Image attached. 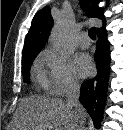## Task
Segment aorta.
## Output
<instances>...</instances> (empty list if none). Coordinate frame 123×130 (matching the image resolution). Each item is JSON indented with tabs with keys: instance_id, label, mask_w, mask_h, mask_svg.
<instances>
[{
	"instance_id": "1",
	"label": "aorta",
	"mask_w": 123,
	"mask_h": 130,
	"mask_svg": "<svg viewBox=\"0 0 123 130\" xmlns=\"http://www.w3.org/2000/svg\"><path fill=\"white\" fill-rule=\"evenodd\" d=\"M51 43L56 51L62 50L67 44V36L65 28L62 24H57L53 27L50 35Z\"/></svg>"
}]
</instances>
